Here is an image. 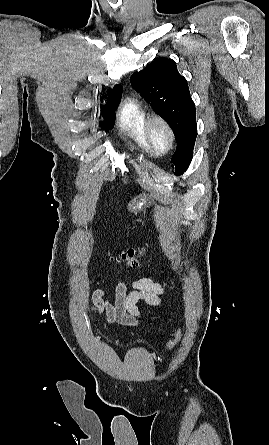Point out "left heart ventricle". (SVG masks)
Returning <instances> with one entry per match:
<instances>
[{
  "instance_id": "1",
  "label": "left heart ventricle",
  "mask_w": 269,
  "mask_h": 445,
  "mask_svg": "<svg viewBox=\"0 0 269 445\" xmlns=\"http://www.w3.org/2000/svg\"><path fill=\"white\" fill-rule=\"evenodd\" d=\"M153 140L160 150H164L168 146V135L160 126H156L153 131Z\"/></svg>"
}]
</instances>
